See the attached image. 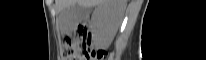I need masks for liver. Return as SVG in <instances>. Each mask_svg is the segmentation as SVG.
Segmentation results:
<instances>
[{
  "label": "liver",
  "mask_w": 206,
  "mask_h": 60,
  "mask_svg": "<svg viewBox=\"0 0 206 60\" xmlns=\"http://www.w3.org/2000/svg\"><path fill=\"white\" fill-rule=\"evenodd\" d=\"M75 4L85 8L103 4L114 5V21L112 23L111 33V37L113 38L121 24L123 13L126 7V0H55V6L58 13H60L66 7Z\"/></svg>",
  "instance_id": "6515ba94"
}]
</instances>
